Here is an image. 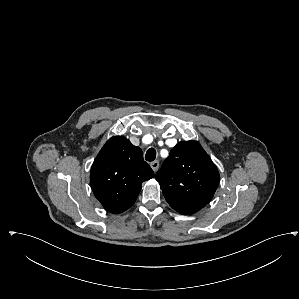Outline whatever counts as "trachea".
Here are the masks:
<instances>
[{
  "mask_svg": "<svg viewBox=\"0 0 299 299\" xmlns=\"http://www.w3.org/2000/svg\"><path fill=\"white\" fill-rule=\"evenodd\" d=\"M156 158V150L154 148H150L147 150L145 159L147 161H154Z\"/></svg>",
  "mask_w": 299,
  "mask_h": 299,
  "instance_id": "obj_1",
  "label": "trachea"
}]
</instances>
